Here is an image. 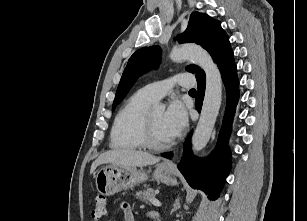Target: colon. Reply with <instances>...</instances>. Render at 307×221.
I'll use <instances>...</instances> for the list:
<instances>
[{
    "label": "colon",
    "mask_w": 307,
    "mask_h": 221,
    "mask_svg": "<svg viewBox=\"0 0 307 221\" xmlns=\"http://www.w3.org/2000/svg\"><path fill=\"white\" fill-rule=\"evenodd\" d=\"M107 213V200L104 196H98L94 202L93 217L99 219Z\"/></svg>",
    "instance_id": "obj_1"
}]
</instances>
